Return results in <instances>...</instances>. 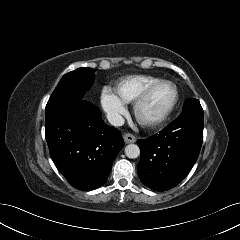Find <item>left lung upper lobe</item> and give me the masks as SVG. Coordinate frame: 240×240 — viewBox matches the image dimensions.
I'll return each instance as SVG.
<instances>
[{
  "label": "left lung upper lobe",
  "mask_w": 240,
  "mask_h": 240,
  "mask_svg": "<svg viewBox=\"0 0 240 240\" xmlns=\"http://www.w3.org/2000/svg\"><path fill=\"white\" fill-rule=\"evenodd\" d=\"M199 104H200V102L197 99L192 98V99H188V100L185 101V103L183 105V108L187 107V106L199 105Z\"/></svg>",
  "instance_id": "obj_1"
}]
</instances>
